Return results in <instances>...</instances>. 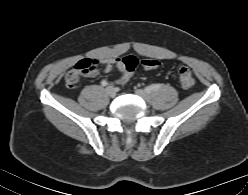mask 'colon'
<instances>
[{
    "label": "colon",
    "instance_id": "colon-1",
    "mask_svg": "<svg viewBox=\"0 0 248 195\" xmlns=\"http://www.w3.org/2000/svg\"><path fill=\"white\" fill-rule=\"evenodd\" d=\"M91 60L79 61L66 76V85L68 87H74L80 81L82 75L86 74L90 70ZM138 64V60L134 56H126L122 58V65L124 68L123 82H127ZM142 66L145 69H156L162 65V62L158 59H144L141 61ZM179 83L182 88H191L195 83L194 75L191 69L187 66L181 65L178 69Z\"/></svg>",
    "mask_w": 248,
    "mask_h": 195
}]
</instances>
